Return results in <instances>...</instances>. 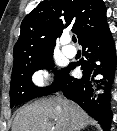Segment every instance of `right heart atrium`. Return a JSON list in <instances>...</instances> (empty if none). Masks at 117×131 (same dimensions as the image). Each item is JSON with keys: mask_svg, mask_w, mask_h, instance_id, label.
<instances>
[{"mask_svg": "<svg viewBox=\"0 0 117 131\" xmlns=\"http://www.w3.org/2000/svg\"><path fill=\"white\" fill-rule=\"evenodd\" d=\"M32 80L36 85L42 86L50 81V76L46 70H39L33 74Z\"/></svg>", "mask_w": 117, "mask_h": 131, "instance_id": "d8ad5b80", "label": "right heart atrium"}]
</instances>
